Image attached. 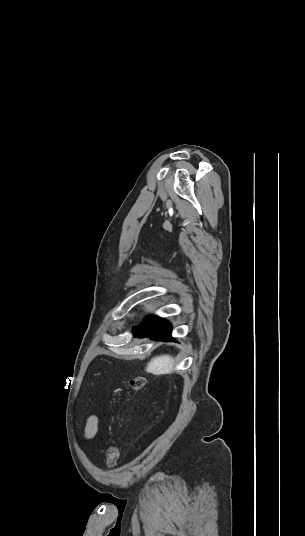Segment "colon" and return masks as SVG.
I'll use <instances>...</instances> for the list:
<instances>
[{"label": "colon", "instance_id": "obj_1", "mask_svg": "<svg viewBox=\"0 0 305 536\" xmlns=\"http://www.w3.org/2000/svg\"><path fill=\"white\" fill-rule=\"evenodd\" d=\"M130 388L134 391H139L144 389L146 386V379L142 375L134 376L130 379ZM119 452L116 446L111 445L107 453V463L109 468H115L118 460Z\"/></svg>", "mask_w": 305, "mask_h": 536}]
</instances>
